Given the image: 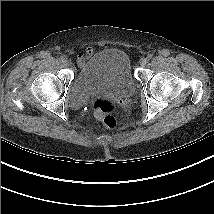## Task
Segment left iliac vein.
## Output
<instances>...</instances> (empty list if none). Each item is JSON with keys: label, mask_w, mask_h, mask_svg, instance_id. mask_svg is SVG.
<instances>
[{"label": "left iliac vein", "mask_w": 214, "mask_h": 214, "mask_svg": "<svg viewBox=\"0 0 214 214\" xmlns=\"http://www.w3.org/2000/svg\"><path fill=\"white\" fill-rule=\"evenodd\" d=\"M147 62H148V60L146 58H141L139 63L141 66H145L147 64Z\"/></svg>", "instance_id": "left-iliac-vein-1"}]
</instances>
